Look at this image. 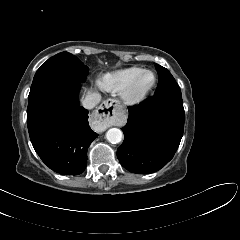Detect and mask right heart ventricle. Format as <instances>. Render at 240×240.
<instances>
[{"mask_svg":"<svg viewBox=\"0 0 240 240\" xmlns=\"http://www.w3.org/2000/svg\"><path fill=\"white\" fill-rule=\"evenodd\" d=\"M144 69L133 66L105 74L99 84L109 92H122Z\"/></svg>","mask_w":240,"mask_h":240,"instance_id":"right-heart-ventricle-1","label":"right heart ventricle"}]
</instances>
